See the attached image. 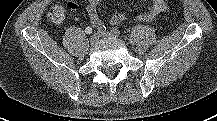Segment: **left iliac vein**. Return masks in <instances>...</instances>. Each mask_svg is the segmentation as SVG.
<instances>
[{"mask_svg": "<svg viewBox=\"0 0 217 121\" xmlns=\"http://www.w3.org/2000/svg\"><path fill=\"white\" fill-rule=\"evenodd\" d=\"M102 37H111V38H116L117 36L113 34L112 32H105L101 34Z\"/></svg>", "mask_w": 217, "mask_h": 121, "instance_id": "1", "label": "left iliac vein"}]
</instances>
